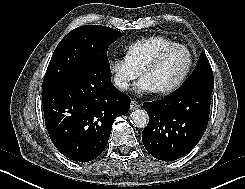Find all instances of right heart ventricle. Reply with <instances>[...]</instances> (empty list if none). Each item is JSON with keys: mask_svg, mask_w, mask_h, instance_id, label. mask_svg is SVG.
Instances as JSON below:
<instances>
[{"mask_svg": "<svg viewBox=\"0 0 245 189\" xmlns=\"http://www.w3.org/2000/svg\"><path fill=\"white\" fill-rule=\"evenodd\" d=\"M175 43L164 35H152L131 42L126 47V57L139 71L164 46Z\"/></svg>", "mask_w": 245, "mask_h": 189, "instance_id": "right-heart-ventricle-1", "label": "right heart ventricle"}]
</instances>
